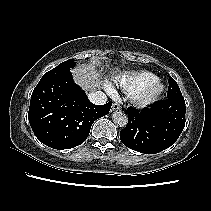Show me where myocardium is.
I'll return each instance as SVG.
<instances>
[{
  "label": "myocardium",
  "instance_id": "1",
  "mask_svg": "<svg viewBox=\"0 0 211 211\" xmlns=\"http://www.w3.org/2000/svg\"><path fill=\"white\" fill-rule=\"evenodd\" d=\"M164 84L157 78L131 94L132 102L139 107H147L155 103L164 92Z\"/></svg>",
  "mask_w": 211,
  "mask_h": 211
}]
</instances>
